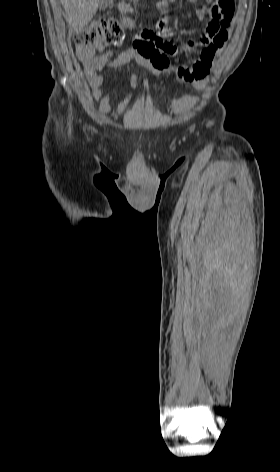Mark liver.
I'll use <instances>...</instances> for the list:
<instances>
[{
	"instance_id": "obj_1",
	"label": "liver",
	"mask_w": 280,
	"mask_h": 472,
	"mask_svg": "<svg viewBox=\"0 0 280 472\" xmlns=\"http://www.w3.org/2000/svg\"><path fill=\"white\" fill-rule=\"evenodd\" d=\"M67 14V22L80 33L97 12L99 0H61Z\"/></svg>"
}]
</instances>
